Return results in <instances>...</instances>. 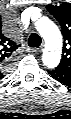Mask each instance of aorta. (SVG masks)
I'll use <instances>...</instances> for the list:
<instances>
[{
    "label": "aorta",
    "mask_w": 71,
    "mask_h": 119,
    "mask_svg": "<svg viewBox=\"0 0 71 119\" xmlns=\"http://www.w3.org/2000/svg\"><path fill=\"white\" fill-rule=\"evenodd\" d=\"M36 28L46 43L42 56L43 64L46 67L53 69L57 67L61 59V33L56 24L46 17L41 18L36 22Z\"/></svg>",
    "instance_id": "aorta-1"
}]
</instances>
